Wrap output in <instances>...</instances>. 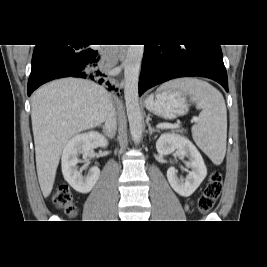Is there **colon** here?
I'll return each mask as SVG.
<instances>
[{
  "instance_id": "obj_1",
  "label": "colon",
  "mask_w": 267,
  "mask_h": 267,
  "mask_svg": "<svg viewBox=\"0 0 267 267\" xmlns=\"http://www.w3.org/2000/svg\"><path fill=\"white\" fill-rule=\"evenodd\" d=\"M222 186V175L217 171L211 172L208 183L198 199V210L201 213L206 214L212 210L220 196ZM53 201L56 207L61 209L68 216L76 215L74 196L68 185L61 184L57 187Z\"/></svg>"
}]
</instances>
